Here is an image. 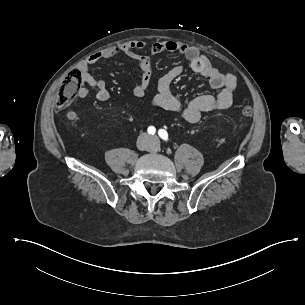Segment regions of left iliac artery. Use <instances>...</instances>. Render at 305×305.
Segmentation results:
<instances>
[{
    "label": "left iliac artery",
    "mask_w": 305,
    "mask_h": 305,
    "mask_svg": "<svg viewBox=\"0 0 305 305\" xmlns=\"http://www.w3.org/2000/svg\"><path fill=\"white\" fill-rule=\"evenodd\" d=\"M159 136L163 139V140H167L168 139V134L165 130L160 129L158 131Z\"/></svg>",
    "instance_id": "obj_1"
}]
</instances>
